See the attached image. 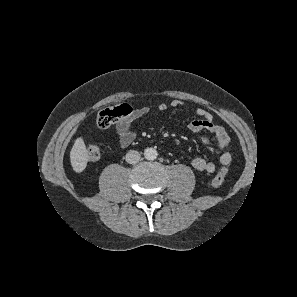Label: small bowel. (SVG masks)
Here are the masks:
<instances>
[{"instance_id": "1", "label": "small bowel", "mask_w": 297, "mask_h": 297, "mask_svg": "<svg viewBox=\"0 0 297 297\" xmlns=\"http://www.w3.org/2000/svg\"><path fill=\"white\" fill-rule=\"evenodd\" d=\"M183 105L180 100H173L169 104L161 103L158 105L159 111H165L168 107L179 108ZM149 113L148 107H139L132 110V113L124 118H120L115 122V130L118 135L119 143L122 147L129 146L135 139L136 134L132 129V124L134 121L144 117ZM198 118L191 120L188 123V129L191 132L197 133L200 131L210 132L218 142V144L223 149L219 157L218 164L222 166H228L231 162V154L227 151V146L229 144V136L225 129L214 122L212 114L204 108H198L196 110ZM203 142L208 144L209 139L204 138ZM192 166L194 169L200 172L211 174L213 173L217 165L214 162L208 161L202 157H196L192 160Z\"/></svg>"}]
</instances>
